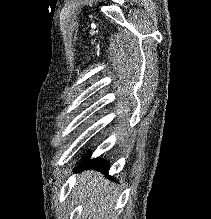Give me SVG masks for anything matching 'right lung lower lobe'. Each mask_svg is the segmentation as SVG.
<instances>
[{
	"instance_id": "obj_1",
	"label": "right lung lower lobe",
	"mask_w": 211,
	"mask_h": 219,
	"mask_svg": "<svg viewBox=\"0 0 211 219\" xmlns=\"http://www.w3.org/2000/svg\"><path fill=\"white\" fill-rule=\"evenodd\" d=\"M90 155L85 156V158L78 164L79 169L83 168H93L100 170L104 173H108L109 170V165L106 161L101 159L100 157L95 158V159H89Z\"/></svg>"
}]
</instances>
